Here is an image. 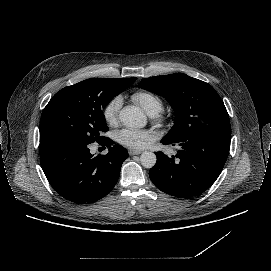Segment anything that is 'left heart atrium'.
<instances>
[{
  "label": "left heart atrium",
  "instance_id": "1",
  "mask_svg": "<svg viewBox=\"0 0 271 271\" xmlns=\"http://www.w3.org/2000/svg\"><path fill=\"white\" fill-rule=\"evenodd\" d=\"M153 139L151 131L147 129L124 128L116 133L117 142L129 149L140 150Z\"/></svg>",
  "mask_w": 271,
  "mask_h": 271
}]
</instances>
